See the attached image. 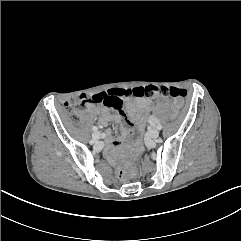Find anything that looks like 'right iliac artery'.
<instances>
[{
	"label": "right iliac artery",
	"instance_id": "obj_1",
	"mask_svg": "<svg viewBox=\"0 0 241 241\" xmlns=\"http://www.w3.org/2000/svg\"><path fill=\"white\" fill-rule=\"evenodd\" d=\"M92 130H93V131H97L98 128H97L96 126H93V127H92Z\"/></svg>",
	"mask_w": 241,
	"mask_h": 241
}]
</instances>
